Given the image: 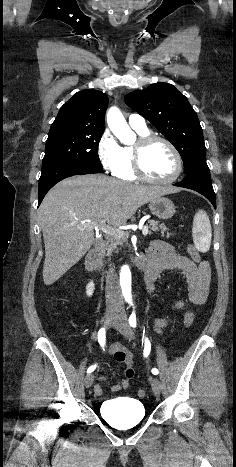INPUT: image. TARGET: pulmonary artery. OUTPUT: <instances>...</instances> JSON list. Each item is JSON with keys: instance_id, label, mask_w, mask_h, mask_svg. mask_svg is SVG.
I'll return each mask as SVG.
<instances>
[{"instance_id": "e3ab8cb5", "label": "pulmonary artery", "mask_w": 236, "mask_h": 467, "mask_svg": "<svg viewBox=\"0 0 236 467\" xmlns=\"http://www.w3.org/2000/svg\"><path fill=\"white\" fill-rule=\"evenodd\" d=\"M129 125L133 129L146 131L148 130L147 123L145 119L139 114H131L128 118Z\"/></svg>"}]
</instances>
